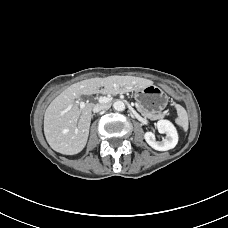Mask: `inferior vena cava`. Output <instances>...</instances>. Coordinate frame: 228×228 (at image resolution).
I'll use <instances>...</instances> for the list:
<instances>
[{
    "instance_id": "obj_1",
    "label": "inferior vena cava",
    "mask_w": 228,
    "mask_h": 228,
    "mask_svg": "<svg viewBox=\"0 0 228 228\" xmlns=\"http://www.w3.org/2000/svg\"><path fill=\"white\" fill-rule=\"evenodd\" d=\"M109 108H110V105L109 104H106V103L96 104L93 107V112L94 113H98V112H101L103 110H107Z\"/></svg>"
}]
</instances>
